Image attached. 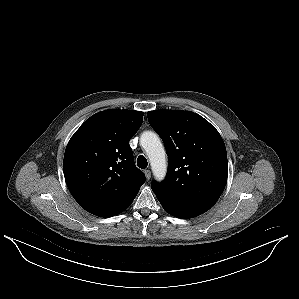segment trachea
I'll list each match as a JSON object with an SVG mask.
<instances>
[{
    "instance_id": "1",
    "label": "trachea",
    "mask_w": 299,
    "mask_h": 299,
    "mask_svg": "<svg viewBox=\"0 0 299 299\" xmlns=\"http://www.w3.org/2000/svg\"><path fill=\"white\" fill-rule=\"evenodd\" d=\"M147 165H148L147 159L143 155H140L137 158V166L141 169H145Z\"/></svg>"
}]
</instances>
